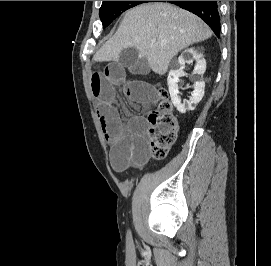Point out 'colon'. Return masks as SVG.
Wrapping results in <instances>:
<instances>
[{
	"label": "colon",
	"mask_w": 271,
	"mask_h": 266,
	"mask_svg": "<svg viewBox=\"0 0 271 266\" xmlns=\"http://www.w3.org/2000/svg\"><path fill=\"white\" fill-rule=\"evenodd\" d=\"M160 101L149 115V150L153 157L164 158L177 138L179 124L167 91L159 89Z\"/></svg>",
	"instance_id": "5ec220e1"
}]
</instances>
